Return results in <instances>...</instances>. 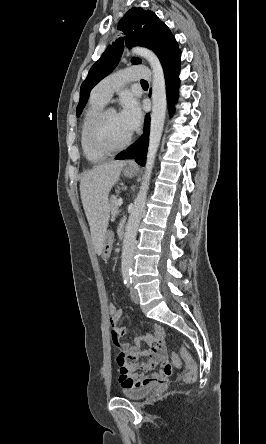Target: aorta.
Wrapping results in <instances>:
<instances>
[{
    "label": "aorta",
    "instance_id": "762f6f07",
    "mask_svg": "<svg viewBox=\"0 0 266 444\" xmlns=\"http://www.w3.org/2000/svg\"><path fill=\"white\" fill-rule=\"evenodd\" d=\"M132 52L146 59L152 69V113L149 135V145L147 152L146 165L144 167L143 181L140 191L134 201L128 223L126 225L122 256L121 269L124 275L130 274L133 264V254L136 245V235L141 217L145 213V204L147 191L151 179L156 153L159 148L165 116H166V86L164 71L161 63L154 52L147 48L135 47Z\"/></svg>",
    "mask_w": 266,
    "mask_h": 444
}]
</instances>
